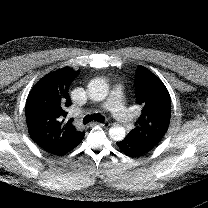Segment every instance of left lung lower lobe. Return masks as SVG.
<instances>
[{
    "label": "left lung lower lobe",
    "mask_w": 208,
    "mask_h": 208,
    "mask_svg": "<svg viewBox=\"0 0 208 208\" xmlns=\"http://www.w3.org/2000/svg\"><path fill=\"white\" fill-rule=\"evenodd\" d=\"M117 145L121 152L130 157L141 156L154 149L153 146L131 139L127 136L122 141L117 142Z\"/></svg>",
    "instance_id": "obj_1"
}]
</instances>
